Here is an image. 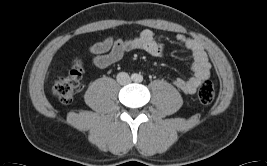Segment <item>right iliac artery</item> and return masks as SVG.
<instances>
[{
	"label": "right iliac artery",
	"instance_id": "1",
	"mask_svg": "<svg viewBox=\"0 0 267 166\" xmlns=\"http://www.w3.org/2000/svg\"><path fill=\"white\" fill-rule=\"evenodd\" d=\"M136 78V76L135 75H132V79H135Z\"/></svg>",
	"mask_w": 267,
	"mask_h": 166
}]
</instances>
